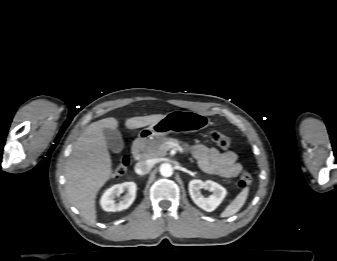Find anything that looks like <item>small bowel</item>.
<instances>
[{
    "label": "small bowel",
    "instance_id": "small-bowel-1",
    "mask_svg": "<svg viewBox=\"0 0 337 261\" xmlns=\"http://www.w3.org/2000/svg\"><path fill=\"white\" fill-rule=\"evenodd\" d=\"M202 171L210 175L234 178L242 171L237 154L233 151L221 152L203 144H195L191 149Z\"/></svg>",
    "mask_w": 337,
    "mask_h": 261
}]
</instances>
